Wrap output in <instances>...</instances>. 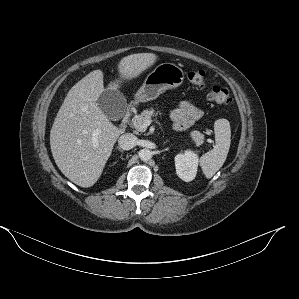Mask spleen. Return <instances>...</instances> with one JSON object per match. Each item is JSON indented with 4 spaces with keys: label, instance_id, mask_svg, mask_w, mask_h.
Segmentation results:
<instances>
[{
    "label": "spleen",
    "instance_id": "3e777b00",
    "mask_svg": "<svg viewBox=\"0 0 299 299\" xmlns=\"http://www.w3.org/2000/svg\"><path fill=\"white\" fill-rule=\"evenodd\" d=\"M215 146L201 156L200 166L206 178H211L223 166L231 143V129L227 119H218L214 123Z\"/></svg>",
    "mask_w": 299,
    "mask_h": 299
}]
</instances>
